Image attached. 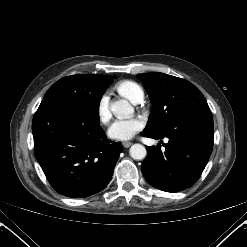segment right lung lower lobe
<instances>
[{
  "mask_svg": "<svg viewBox=\"0 0 247 247\" xmlns=\"http://www.w3.org/2000/svg\"><path fill=\"white\" fill-rule=\"evenodd\" d=\"M32 131L36 159L58 193L87 197L108 185L122 144L107 139L99 111L62 100L42 101Z\"/></svg>",
  "mask_w": 247,
  "mask_h": 247,
  "instance_id": "98d812e1",
  "label": "right lung lower lobe"
}]
</instances>
